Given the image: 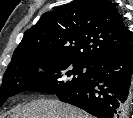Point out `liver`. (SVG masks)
<instances>
[{
  "instance_id": "1",
  "label": "liver",
  "mask_w": 133,
  "mask_h": 118,
  "mask_svg": "<svg viewBox=\"0 0 133 118\" xmlns=\"http://www.w3.org/2000/svg\"><path fill=\"white\" fill-rule=\"evenodd\" d=\"M11 118H92L83 110L51 99H39L18 105Z\"/></svg>"
}]
</instances>
